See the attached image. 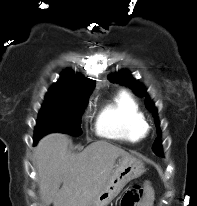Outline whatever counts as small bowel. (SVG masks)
<instances>
[{"label": "small bowel", "instance_id": "obj_1", "mask_svg": "<svg viewBox=\"0 0 197 206\" xmlns=\"http://www.w3.org/2000/svg\"><path fill=\"white\" fill-rule=\"evenodd\" d=\"M151 194H152V191L150 190V191L146 194V196L149 197V196H151ZM133 206H140V204H139V202H137V203L133 204Z\"/></svg>", "mask_w": 197, "mask_h": 206}]
</instances>
